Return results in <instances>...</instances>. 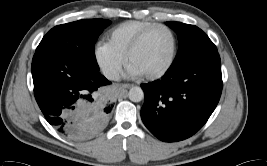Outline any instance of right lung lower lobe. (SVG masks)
<instances>
[{"label":"right lung lower lobe","mask_w":267,"mask_h":166,"mask_svg":"<svg viewBox=\"0 0 267 166\" xmlns=\"http://www.w3.org/2000/svg\"><path fill=\"white\" fill-rule=\"evenodd\" d=\"M32 76L36 101L46 120L70 137L90 136L100 130L111 112L106 106L87 117L84 126L76 125L70 116L74 109L90 106L92 93L108 85L99 70L54 50L37 51L32 60Z\"/></svg>","instance_id":"98d812e1"}]
</instances>
